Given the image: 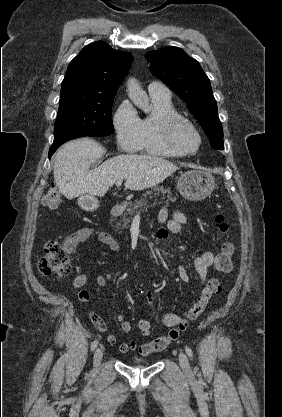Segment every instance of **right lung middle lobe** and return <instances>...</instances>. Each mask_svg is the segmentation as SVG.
<instances>
[{"instance_id": "obj_1", "label": "right lung middle lobe", "mask_w": 282, "mask_h": 417, "mask_svg": "<svg viewBox=\"0 0 282 417\" xmlns=\"http://www.w3.org/2000/svg\"><path fill=\"white\" fill-rule=\"evenodd\" d=\"M114 95L87 91L61 94L54 139L69 134L92 137L112 134L111 105Z\"/></svg>"}]
</instances>
